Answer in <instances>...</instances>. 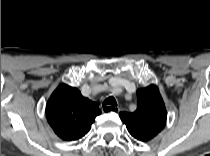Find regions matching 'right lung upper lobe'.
<instances>
[{"label":"right lung upper lobe","mask_w":210,"mask_h":156,"mask_svg":"<svg viewBox=\"0 0 210 156\" xmlns=\"http://www.w3.org/2000/svg\"><path fill=\"white\" fill-rule=\"evenodd\" d=\"M101 114L98 104L82 96L77 88L60 84L46 105V117L55 134L71 141L83 137Z\"/></svg>","instance_id":"cb5924a9"}]
</instances>
